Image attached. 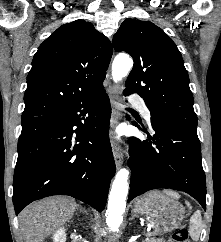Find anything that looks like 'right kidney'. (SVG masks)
Returning <instances> with one entry per match:
<instances>
[{
  "label": "right kidney",
  "instance_id": "ca27d5eb",
  "mask_svg": "<svg viewBox=\"0 0 221 242\" xmlns=\"http://www.w3.org/2000/svg\"><path fill=\"white\" fill-rule=\"evenodd\" d=\"M65 228L58 229L53 235V242H66Z\"/></svg>",
  "mask_w": 221,
  "mask_h": 242
}]
</instances>
